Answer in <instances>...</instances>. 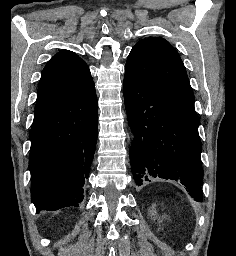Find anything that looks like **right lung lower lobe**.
Instances as JSON below:
<instances>
[{"label": "right lung lower lobe", "instance_id": "right-lung-lower-lobe-1", "mask_svg": "<svg viewBox=\"0 0 236 256\" xmlns=\"http://www.w3.org/2000/svg\"><path fill=\"white\" fill-rule=\"evenodd\" d=\"M94 82L34 117L30 131L31 199L41 210L79 206L98 127Z\"/></svg>", "mask_w": 236, "mask_h": 256}]
</instances>
